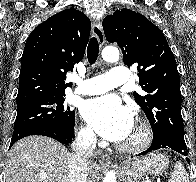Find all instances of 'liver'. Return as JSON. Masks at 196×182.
Here are the masks:
<instances>
[{"label":"liver","instance_id":"1","mask_svg":"<svg viewBox=\"0 0 196 182\" xmlns=\"http://www.w3.org/2000/svg\"><path fill=\"white\" fill-rule=\"evenodd\" d=\"M72 155L67 148L44 136H29L16 142L6 162V182H69ZM100 167L89 162L87 182H96Z\"/></svg>","mask_w":196,"mask_h":182}]
</instances>
